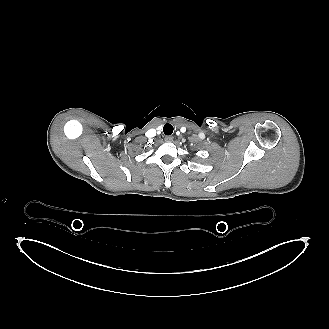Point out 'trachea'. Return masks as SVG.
<instances>
[{
    "instance_id": "1",
    "label": "trachea",
    "mask_w": 329,
    "mask_h": 329,
    "mask_svg": "<svg viewBox=\"0 0 329 329\" xmlns=\"http://www.w3.org/2000/svg\"><path fill=\"white\" fill-rule=\"evenodd\" d=\"M165 135H171L173 133V126L169 123H166L163 127Z\"/></svg>"
}]
</instances>
